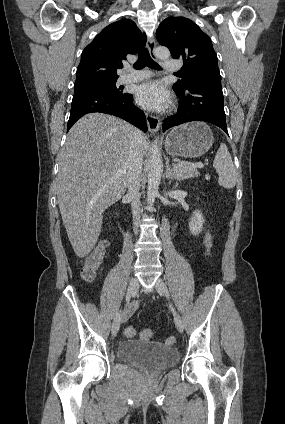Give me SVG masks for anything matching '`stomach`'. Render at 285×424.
<instances>
[{
    "instance_id": "obj_1",
    "label": "stomach",
    "mask_w": 285,
    "mask_h": 424,
    "mask_svg": "<svg viewBox=\"0 0 285 424\" xmlns=\"http://www.w3.org/2000/svg\"><path fill=\"white\" fill-rule=\"evenodd\" d=\"M213 140L208 125L192 122L173 128L165 139V149L170 155L197 158L211 148Z\"/></svg>"
}]
</instances>
